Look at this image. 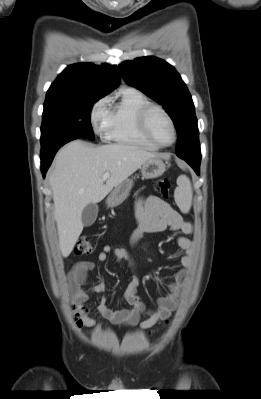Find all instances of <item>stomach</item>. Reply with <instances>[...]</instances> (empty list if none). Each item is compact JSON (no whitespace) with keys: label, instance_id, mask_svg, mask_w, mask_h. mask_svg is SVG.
<instances>
[{"label":"stomach","instance_id":"0dacf381","mask_svg":"<svg viewBox=\"0 0 261 399\" xmlns=\"http://www.w3.org/2000/svg\"><path fill=\"white\" fill-rule=\"evenodd\" d=\"M141 174L144 179H153L161 176L166 166L162 159L159 157L151 158L147 160L141 167ZM133 186L132 179H126L111 191L106 199L108 207L113 208L120 205L129 196V193Z\"/></svg>","mask_w":261,"mask_h":399}]
</instances>
